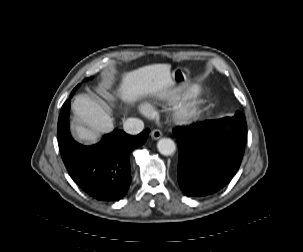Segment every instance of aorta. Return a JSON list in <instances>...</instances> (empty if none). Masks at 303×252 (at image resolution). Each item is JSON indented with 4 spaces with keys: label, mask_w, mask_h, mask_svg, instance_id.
<instances>
[{
    "label": "aorta",
    "mask_w": 303,
    "mask_h": 252,
    "mask_svg": "<svg viewBox=\"0 0 303 252\" xmlns=\"http://www.w3.org/2000/svg\"><path fill=\"white\" fill-rule=\"evenodd\" d=\"M157 148L162 155L169 156L174 154L176 145L172 139L162 138L158 141Z\"/></svg>",
    "instance_id": "obj_1"
}]
</instances>
